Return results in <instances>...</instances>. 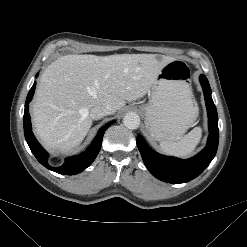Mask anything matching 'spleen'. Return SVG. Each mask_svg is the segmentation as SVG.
I'll return each instance as SVG.
<instances>
[{
    "mask_svg": "<svg viewBox=\"0 0 247 247\" xmlns=\"http://www.w3.org/2000/svg\"><path fill=\"white\" fill-rule=\"evenodd\" d=\"M188 101L191 105L196 104L195 101L191 99L190 94H188ZM201 137L202 129L200 127H195L179 141H161L160 147L161 150L168 155L184 158L190 156L194 152Z\"/></svg>",
    "mask_w": 247,
    "mask_h": 247,
    "instance_id": "3e777b00",
    "label": "spleen"
}]
</instances>
